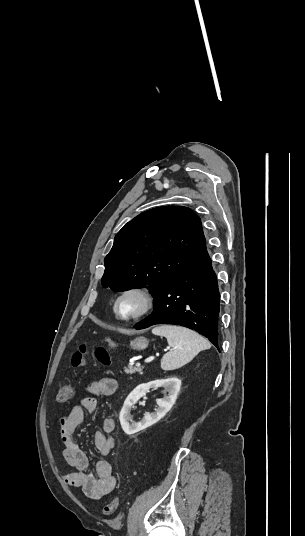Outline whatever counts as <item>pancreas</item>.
I'll list each match as a JSON object with an SVG mask.
<instances>
[{"mask_svg":"<svg viewBox=\"0 0 305 536\" xmlns=\"http://www.w3.org/2000/svg\"><path fill=\"white\" fill-rule=\"evenodd\" d=\"M143 368H137V366H132L129 364L128 368H124L125 374H136V372H142Z\"/></svg>","mask_w":305,"mask_h":536,"instance_id":"1","label":"pancreas"}]
</instances>
